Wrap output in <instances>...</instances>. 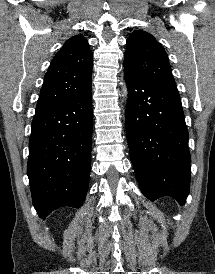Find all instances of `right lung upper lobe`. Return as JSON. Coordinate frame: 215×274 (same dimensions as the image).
I'll use <instances>...</instances> for the list:
<instances>
[{
  "mask_svg": "<svg viewBox=\"0 0 215 274\" xmlns=\"http://www.w3.org/2000/svg\"><path fill=\"white\" fill-rule=\"evenodd\" d=\"M92 58L85 38L76 35L68 39L48 68L36 112L58 105L90 86Z\"/></svg>",
  "mask_w": 215,
  "mask_h": 274,
  "instance_id": "obj_1",
  "label": "right lung upper lobe"
}]
</instances>
